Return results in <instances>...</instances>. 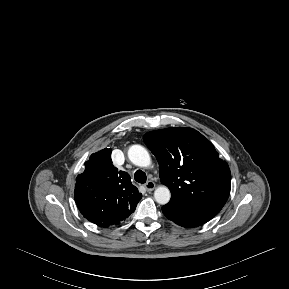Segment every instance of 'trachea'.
Segmentation results:
<instances>
[{
  "label": "trachea",
  "instance_id": "3493384b",
  "mask_svg": "<svg viewBox=\"0 0 289 289\" xmlns=\"http://www.w3.org/2000/svg\"><path fill=\"white\" fill-rule=\"evenodd\" d=\"M134 179L136 182L143 184L146 182L147 176L142 170H137L134 174Z\"/></svg>",
  "mask_w": 289,
  "mask_h": 289
}]
</instances>
